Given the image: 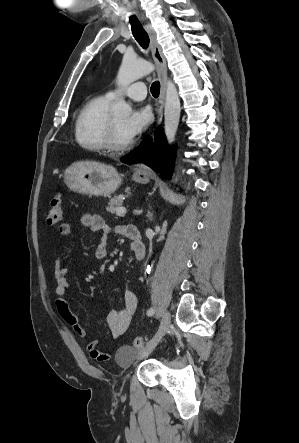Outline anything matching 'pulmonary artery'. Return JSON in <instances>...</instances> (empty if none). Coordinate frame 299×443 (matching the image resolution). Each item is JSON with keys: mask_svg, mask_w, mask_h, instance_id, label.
<instances>
[{"mask_svg": "<svg viewBox=\"0 0 299 443\" xmlns=\"http://www.w3.org/2000/svg\"><path fill=\"white\" fill-rule=\"evenodd\" d=\"M119 91L111 90L107 92L106 96L110 99H114L119 95ZM122 94L136 101H141L146 97L147 90L146 85L143 82H136L126 87Z\"/></svg>", "mask_w": 299, "mask_h": 443, "instance_id": "1", "label": "pulmonary artery"}]
</instances>
